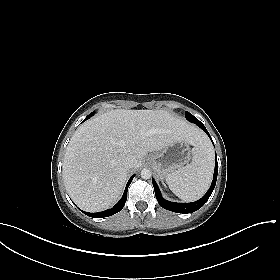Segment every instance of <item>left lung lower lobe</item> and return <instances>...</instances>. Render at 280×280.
Returning a JSON list of instances; mask_svg holds the SVG:
<instances>
[{
	"label": "left lung lower lobe",
	"mask_w": 280,
	"mask_h": 280,
	"mask_svg": "<svg viewBox=\"0 0 280 280\" xmlns=\"http://www.w3.org/2000/svg\"><path fill=\"white\" fill-rule=\"evenodd\" d=\"M192 122L196 123L210 137L208 131L206 130V128L204 127L202 122H200L199 120L198 121L192 120ZM217 174H218V163H217V157H216L215 170H214V176H213V181H212L211 187L209 188L208 192L201 199H199L198 201L192 202V203H175V202H170V201L165 200L161 195L158 185L156 184V182L153 179L152 182H153L157 201L163 208H165L167 210L177 212V213H185V214L192 213V212L200 209L206 203V201L209 199L211 193L214 190L215 184H216Z\"/></svg>",
	"instance_id": "0a47b994"
}]
</instances>
